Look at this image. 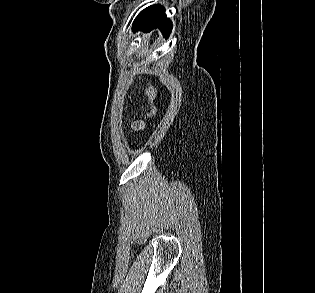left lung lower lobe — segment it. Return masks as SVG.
<instances>
[{"instance_id":"0a47b994","label":"left lung lower lobe","mask_w":315,"mask_h":293,"mask_svg":"<svg viewBox=\"0 0 315 293\" xmlns=\"http://www.w3.org/2000/svg\"><path fill=\"white\" fill-rule=\"evenodd\" d=\"M155 28H160L161 31L168 36L171 32L172 24L166 18L165 10L160 5H153L142 10L133 23V30H144L150 32Z\"/></svg>"}]
</instances>
